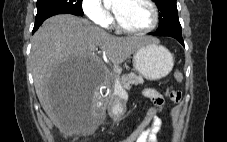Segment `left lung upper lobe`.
<instances>
[{
	"mask_svg": "<svg viewBox=\"0 0 227 142\" xmlns=\"http://www.w3.org/2000/svg\"><path fill=\"white\" fill-rule=\"evenodd\" d=\"M159 8V28L157 31H171L181 34L176 0H154Z\"/></svg>",
	"mask_w": 227,
	"mask_h": 142,
	"instance_id": "5c2ea615",
	"label": "left lung upper lobe"
}]
</instances>
